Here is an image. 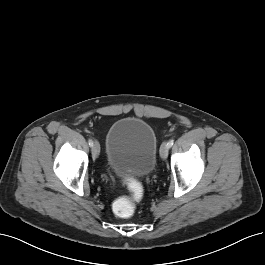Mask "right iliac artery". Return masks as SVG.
<instances>
[{"label": "right iliac artery", "mask_w": 265, "mask_h": 265, "mask_svg": "<svg viewBox=\"0 0 265 265\" xmlns=\"http://www.w3.org/2000/svg\"><path fill=\"white\" fill-rule=\"evenodd\" d=\"M88 143H89V145L92 147L93 146V141H92V139H89L88 140Z\"/></svg>", "instance_id": "82829eb1"}]
</instances>
